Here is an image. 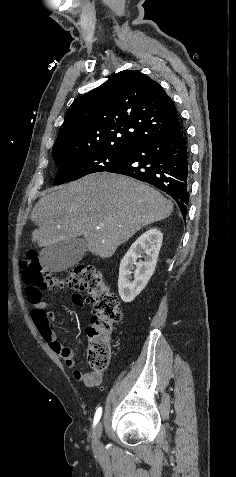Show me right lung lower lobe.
I'll list each match as a JSON object with an SVG mask.
<instances>
[{"instance_id": "obj_1", "label": "right lung lower lobe", "mask_w": 236, "mask_h": 477, "mask_svg": "<svg viewBox=\"0 0 236 477\" xmlns=\"http://www.w3.org/2000/svg\"><path fill=\"white\" fill-rule=\"evenodd\" d=\"M147 182L170 195L186 218L189 202V150L181 122L168 133L141 143L127 153V161L111 169Z\"/></svg>"}]
</instances>
